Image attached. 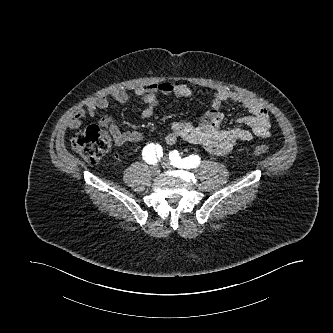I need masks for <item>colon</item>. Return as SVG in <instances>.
<instances>
[{
  "instance_id": "obj_1",
  "label": "colon",
  "mask_w": 333,
  "mask_h": 333,
  "mask_svg": "<svg viewBox=\"0 0 333 333\" xmlns=\"http://www.w3.org/2000/svg\"><path fill=\"white\" fill-rule=\"evenodd\" d=\"M112 144L110 134L98 125H90L72 139L73 148L89 163L100 161ZM269 152L265 145H255L246 150L251 157L264 156Z\"/></svg>"
}]
</instances>
